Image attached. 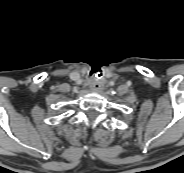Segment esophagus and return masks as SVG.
I'll return each instance as SVG.
<instances>
[{
  "instance_id": "34e87169",
  "label": "esophagus",
  "mask_w": 184,
  "mask_h": 173,
  "mask_svg": "<svg viewBox=\"0 0 184 173\" xmlns=\"http://www.w3.org/2000/svg\"><path fill=\"white\" fill-rule=\"evenodd\" d=\"M89 88L91 91H99L101 89V85L98 82H92Z\"/></svg>"
}]
</instances>
